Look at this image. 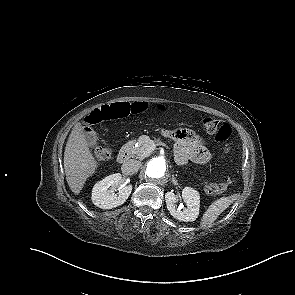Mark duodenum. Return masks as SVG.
Listing matches in <instances>:
<instances>
[{"label":"duodenum","mask_w":295,"mask_h":295,"mask_svg":"<svg viewBox=\"0 0 295 295\" xmlns=\"http://www.w3.org/2000/svg\"><path fill=\"white\" fill-rule=\"evenodd\" d=\"M131 143L125 144L119 151L117 160L119 163H125L131 156Z\"/></svg>","instance_id":"1"}]
</instances>
